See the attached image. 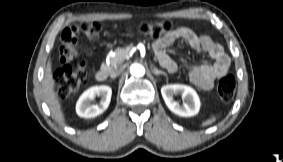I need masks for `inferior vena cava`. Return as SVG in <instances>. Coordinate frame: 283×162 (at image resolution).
<instances>
[{"mask_svg":"<svg viewBox=\"0 0 283 162\" xmlns=\"http://www.w3.org/2000/svg\"><path fill=\"white\" fill-rule=\"evenodd\" d=\"M120 73H121V71H119V70L113 71L110 76H111L112 78H115V77H117Z\"/></svg>","mask_w":283,"mask_h":162,"instance_id":"1","label":"inferior vena cava"}]
</instances>
